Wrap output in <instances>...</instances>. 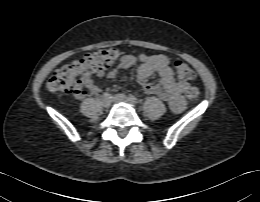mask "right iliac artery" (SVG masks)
Listing matches in <instances>:
<instances>
[{"instance_id":"1","label":"right iliac artery","mask_w":260,"mask_h":202,"mask_svg":"<svg viewBox=\"0 0 260 202\" xmlns=\"http://www.w3.org/2000/svg\"><path fill=\"white\" fill-rule=\"evenodd\" d=\"M104 97L111 99V98H112V95H111L110 93H105V94H104Z\"/></svg>"}]
</instances>
